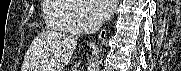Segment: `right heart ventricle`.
Returning a JSON list of instances; mask_svg holds the SVG:
<instances>
[{
  "mask_svg": "<svg viewBox=\"0 0 181 71\" xmlns=\"http://www.w3.org/2000/svg\"><path fill=\"white\" fill-rule=\"evenodd\" d=\"M70 9V6L57 0L45 1L44 18L46 25L53 30L70 32L66 19V15Z\"/></svg>",
  "mask_w": 181,
  "mask_h": 71,
  "instance_id": "obj_1",
  "label": "right heart ventricle"
}]
</instances>
